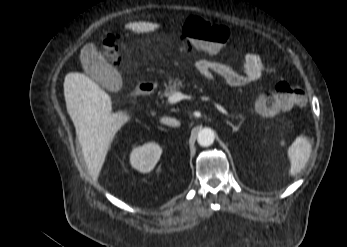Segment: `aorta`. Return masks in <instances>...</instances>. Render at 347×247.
I'll return each mask as SVG.
<instances>
[{"label": "aorta", "instance_id": "1", "mask_svg": "<svg viewBox=\"0 0 347 247\" xmlns=\"http://www.w3.org/2000/svg\"><path fill=\"white\" fill-rule=\"evenodd\" d=\"M214 132L209 128H204L198 133L197 141L200 146L208 147L213 144Z\"/></svg>", "mask_w": 347, "mask_h": 247}]
</instances>
